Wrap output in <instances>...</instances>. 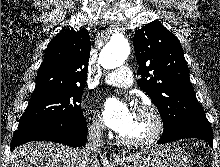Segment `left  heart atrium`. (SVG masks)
Returning <instances> with one entry per match:
<instances>
[{
    "label": "left heart atrium",
    "instance_id": "obj_1",
    "mask_svg": "<svg viewBox=\"0 0 220 167\" xmlns=\"http://www.w3.org/2000/svg\"><path fill=\"white\" fill-rule=\"evenodd\" d=\"M134 110L126 103L116 98H108L102 104V117L105 124L118 133L129 126Z\"/></svg>",
    "mask_w": 220,
    "mask_h": 167
}]
</instances>
